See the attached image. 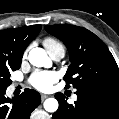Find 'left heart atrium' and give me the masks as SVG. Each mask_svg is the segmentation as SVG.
Masks as SVG:
<instances>
[{
    "label": "left heart atrium",
    "instance_id": "1",
    "mask_svg": "<svg viewBox=\"0 0 119 119\" xmlns=\"http://www.w3.org/2000/svg\"><path fill=\"white\" fill-rule=\"evenodd\" d=\"M57 80V74L53 71H38L35 72L30 79V83L36 89L48 91Z\"/></svg>",
    "mask_w": 119,
    "mask_h": 119
}]
</instances>
